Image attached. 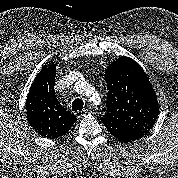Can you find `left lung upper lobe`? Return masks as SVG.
<instances>
[{"label": "left lung upper lobe", "mask_w": 178, "mask_h": 178, "mask_svg": "<svg viewBox=\"0 0 178 178\" xmlns=\"http://www.w3.org/2000/svg\"><path fill=\"white\" fill-rule=\"evenodd\" d=\"M108 87L107 111L102 122L149 131L159 108L156 94L142 67L122 56L105 72Z\"/></svg>", "instance_id": "obj_1"}]
</instances>
